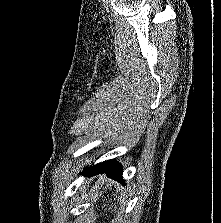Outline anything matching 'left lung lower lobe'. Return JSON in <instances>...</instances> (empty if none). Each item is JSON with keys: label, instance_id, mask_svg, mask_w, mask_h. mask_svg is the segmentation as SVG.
<instances>
[{"label": "left lung lower lobe", "instance_id": "1", "mask_svg": "<svg viewBox=\"0 0 221 223\" xmlns=\"http://www.w3.org/2000/svg\"><path fill=\"white\" fill-rule=\"evenodd\" d=\"M85 172L89 175H95L99 173H106L107 176L113 177L119 181H123L122 179V167L115 160L104 161L95 166L89 167L85 169Z\"/></svg>", "mask_w": 221, "mask_h": 223}]
</instances>
